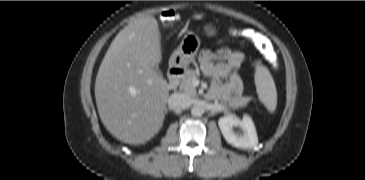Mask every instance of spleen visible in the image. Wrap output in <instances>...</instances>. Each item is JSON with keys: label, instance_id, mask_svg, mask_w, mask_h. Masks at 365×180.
<instances>
[{"label": "spleen", "instance_id": "spleen-1", "mask_svg": "<svg viewBox=\"0 0 365 180\" xmlns=\"http://www.w3.org/2000/svg\"><path fill=\"white\" fill-rule=\"evenodd\" d=\"M254 79L259 100L270 112H274L277 106L275 83L269 70L260 61L255 62Z\"/></svg>", "mask_w": 365, "mask_h": 180}]
</instances>
